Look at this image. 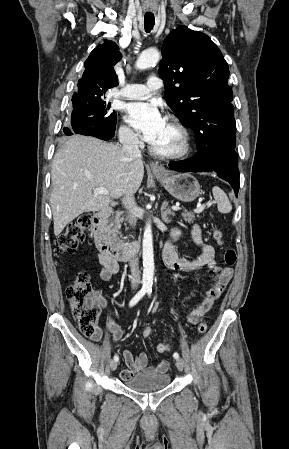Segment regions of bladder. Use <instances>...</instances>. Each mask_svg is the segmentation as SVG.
Instances as JSON below:
<instances>
[{
    "instance_id": "1",
    "label": "bladder",
    "mask_w": 289,
    "mask_h": 449,
    "mask_svg": "<svg viewBox=\"0 0 289 449\" xmlns=\"http://www.w3.org/2000/svg\"><path fill=\"white\" fill-rule=\"evenodd\" d=\"M170 383L168 373H139L123 384L130 390L149 391L167 387Z\"/></svg>"
}]
</instances>
